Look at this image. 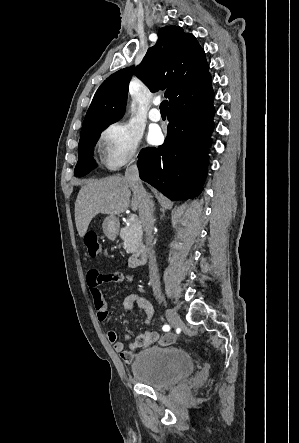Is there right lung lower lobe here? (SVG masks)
<instances>
[{
  "label": "right lung lower lobe",
  "instance_id": "right-lung-lower-lobe-1",
  "mask_svg": "<svg viewBox=\"0 0 299 443\" xmlns=\"http://www.w3.org/2000/svg\"><path fill=\"white\" fill-rule=\"evenodd\" d=\"M213 90L208 73L169 104L164 144L139 154L140 178L171 200L200 194L214 128Z\"/></svg>",
  "mask_w": 299,
  "mask_h": 443
}]
</instances>
